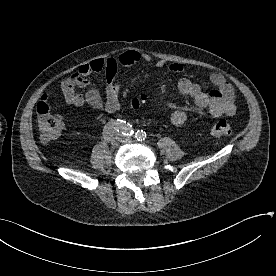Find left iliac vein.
I'll return each mask as SVG.
<instances>
[{"label": "left iliac vein", "instance_id": "left-iliac-vein-1", "mask_svg": "<svg viewBox=\"0 0 276 276\" xmlns=\"http://www.w3.org/2000/svg\"><path fill=\"white\" fill-rule=\"evenodd\" d=\"M120 142L126 143V142H132L131 138H126L122 135H118Z\"/></svg>", "mask_w": 276, "mask_h": 276}]
</instances>
